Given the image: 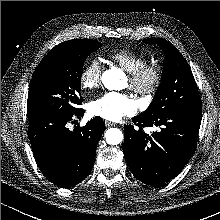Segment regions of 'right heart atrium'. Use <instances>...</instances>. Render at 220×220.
I'll return each instance as SVG.
<instances>
[{
	"label": "right heart atrium",
	"instance_id": "right-heart-atrium-1",
	"mask_svg": "<svg viewBox=\"0 0 220 220\" xmlns=\"http://www.w3.org/2000/svg\"><path fill=\"white\" fill-rule=\"evenodd\" d=\"M102 72L101 63L97 59L90 60L80 73V86L84 91H92L99 86Z\"/></svg>",
	"mask_w": 220,
	"mask_h": 220
}]
</instances>
